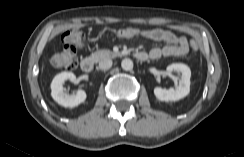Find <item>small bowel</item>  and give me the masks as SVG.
<instances>
[{"mask_svg": "<svg viewBox=\"0 0 244 157\" xmlns=\"http://www.w3.org/2000/svg\"><path fill=\"white\" fill-rule=\"evenodd\" d=\"M139 37L152 41L165 42L167 45L161 48H153L147 54L150 59H159L161 57L171 58L184 56L189 52V43L183 36L164 29L143 30Z\"/></svg>", "mask_w": 244, "mask_h": 157, "instance_id": "c3829d8e", "label": "small bowel"}]
</instances>
